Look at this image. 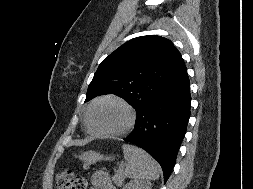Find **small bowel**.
Wrapping results in <instances>:
<instances>
[{
  "label": "small bowel",
  "instance_id": "obj_1",
  "mask_svg": "<svg viewBox=\"0 0 253 189\" xmlns=\"http://www.w3.org/2000/svg\"><path fill=\"white\" fill-rule=\"evenodd\" d=\"M91 183L93 189H116L108 173L101 170L93 173Z\"/></svg>",
  "mask_w": 253,
  "mask_h": 189
}]
</instances>
